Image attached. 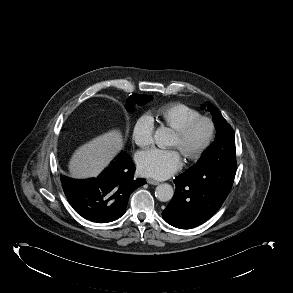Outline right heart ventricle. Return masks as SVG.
<instances>
[{"mask_svg": "<svg viewBox=\"0 0 293 293\" xmlns=\"http://www.w3.org/2000/svg\"><path fill=\"white\" fill-rule=\"evenodd\" d=\"M157 115L167 126L177 131L199 117L200 113L183 103H174L160 108Z\"/></svg>", "mask_w": 293, "mask_h": 293, "instance_id": "1", "label": "right heart ventricle"}]
</instances>
